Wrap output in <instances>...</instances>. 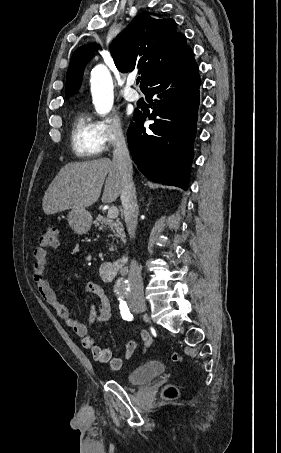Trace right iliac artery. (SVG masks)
Segmentation results:
<instances>
[{
  "mask_svg": "<svg viewBox=\"0 0 281 453\" xmlns=\"http://www.w3.org/2000/svg\"><path fill=\"white\" fill-rule=\"evenodd\" d=\"M120 313H121V316L124 320H127V321H131L133 319V315L130 314L129 312V308L127 306V304H120Z\"/></svg>",
  "mask_w": 281,
  "mask_h": 453,
  "instance_id": "obj_1",
  "label": "right iliac artery"
}]
</instances>
